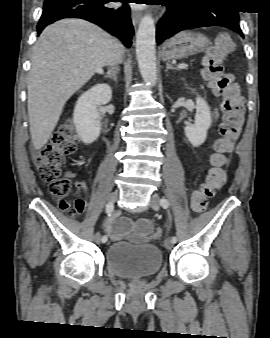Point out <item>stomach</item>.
Here are the masks:
<instances>
[{"label": "stomach", "mask_w": 270, "mask_h": 338, "mask_svg": "<svg viewBox=\"0 0 270 338\" xmlns=\"http://www.w3.org/2000/svg\"><path fill=\"white\" fill-rule=\"evenodd\" d=\"M209 46L207 37L192 31H182L165 41L161 49L164 60L182 59L197 54Z\"/></svg>", "instance_id": "1"}]
</instances>
